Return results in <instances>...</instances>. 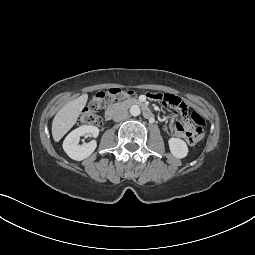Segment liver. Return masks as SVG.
I'll return each instance as SVG.
<instances>
[{
    "instance_id": "obj_1",
    "label": "liver",
    "mask_w": 255,
    "mask_h": 255,
    "mask_svg": "<svg viewBox=\"0 0 255 255\" xmlns=\"http://www.w3.org/2000/svg\"><path fill=\"white\" fill-rule=\"evenodd\" d=\"M87 95L84 94L65 104L55 115L52 122V136L55 142L60 139L73 127L79 117L81 110L87 102Z\"/></svg>"
}]
</instances>
